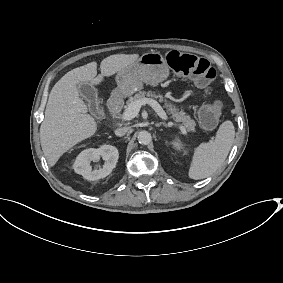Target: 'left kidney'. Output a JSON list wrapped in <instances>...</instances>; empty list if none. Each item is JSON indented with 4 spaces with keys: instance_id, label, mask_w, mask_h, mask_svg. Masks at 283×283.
I'll return each mask as SVG.
<instances>
[{
    "instance_id": "5707ae66",
    "label": "left kidney",
    "mask_w": 283,
    "mask_h": 283,
    "mask_svg": "<svg viewBox=\"0 0 283 283\" xmlns=\"http://www.w3.org/2000/svg\"><path fill=\"white\" fill-rule=\"evenodd\" d=\"M172 145L173 148L176 150H182L183 149V144L181 143V141L179 139H175L174 141H172ZM184 153L186 154L187 151H184Z\"/></svg>"
}]
</instances>
